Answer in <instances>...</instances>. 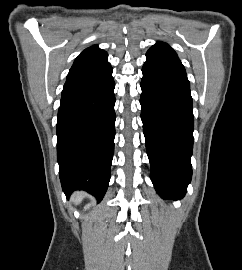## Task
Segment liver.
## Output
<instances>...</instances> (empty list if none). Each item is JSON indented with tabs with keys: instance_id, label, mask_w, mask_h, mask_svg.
Listing matches in <instances>:
<instances>
[{
	"instance_id": "1",
	"label": "liver",
	"mask_w": 242,
	"mask_h": 270,
	"mask_svg": "<svg viewBox=\"0 0 242 270\" xmlns=\"http://www.w3.org/2000/svg\"><path fill=\"white\" fill-rule=\"evenodd\" d=\"M84 195L82 193H76L74 194L72 200L74 203L78 204L82 199H83Z\"/></svg>"
}]
</instances>
